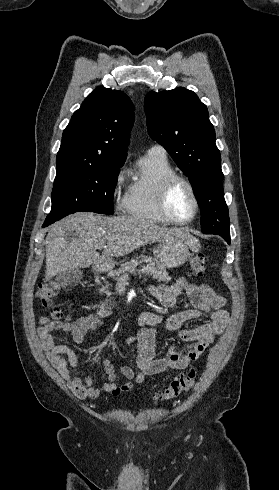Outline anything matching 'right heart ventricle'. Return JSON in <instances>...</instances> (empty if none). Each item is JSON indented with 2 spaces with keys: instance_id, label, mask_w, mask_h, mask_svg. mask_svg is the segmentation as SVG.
<instances>
[{
  "instance_id": "right-heart-ventricle-1",
  "label": "right heart ventricle",
  "mask_w": 279,
  "mask_h": 490,
  "mask_svg": "<svg viewBox=\"0 0 279 490\" xmlns=\"http://www.w3.org/2000/svg\"><path fill=\"white\" fill-rule=\"evenodd\" d=\"M141 175L134 181L125 199V209L131 217L158 224H172L160 208L164 179L175 173L167 156L146 154L140 161Z\"/></svg>"
}]
</instances>
